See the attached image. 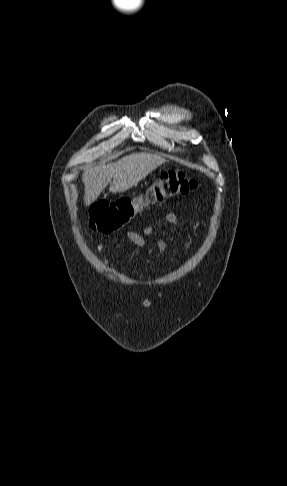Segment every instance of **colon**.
<instances>
[{
  "mask_svg": "<svg viewBox=\"0 0 287 486\" xmlns=\"http://www.w3.org/2000/svg\"><path fill=\"white\" fill-rule=\"evenodd\" d=\"M198 187L197 180L181 171L165 172L140 196L96 202L90 210L89 226L94 231L110 234L126 225L149 204L186 195Z\"/></svg>",
  "mask_w": 287,
  "mask_h": 486,
  "instance_id": "obj_1",
  "label": "colon"
}]
</instances>
